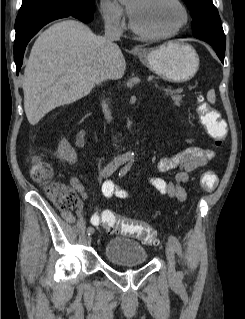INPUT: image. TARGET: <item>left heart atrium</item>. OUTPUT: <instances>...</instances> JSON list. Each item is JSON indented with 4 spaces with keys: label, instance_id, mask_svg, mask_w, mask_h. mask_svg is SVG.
I'll return each instance as SVG.
<instances>
[{
    "label": "left heart atrium",
    "instance_id": "39dd6f15",
    "mask_svg": "<svg viewBox=\"0 0 245 319\" xmlns=\"http://www.w3.org/2000/svg\"><path fill=\"white\" fill-rule=\"evenodd\" d=\"M130 13H132V9L130 8Z\"/></svg>",
    "mask_w": 245,
    "mask_h": 319
}]
</instances>
